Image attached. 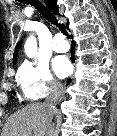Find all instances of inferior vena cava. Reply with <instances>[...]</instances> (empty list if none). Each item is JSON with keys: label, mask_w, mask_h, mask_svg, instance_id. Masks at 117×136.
Masks as SVG:
<instances>
[{"label": "inferior vena cava", "mask_w": 117, "mask_h": 136, "mask_svg": "<svg viewBox=\"0 0 117 136\" xmlns=\"http://www.w3.org/2000/svg\"><path fill=\"white\" fill-rule=\"evenodd\" d=\"M64 89L60 83H54L50 95L46 99V105L54 108L64 98ZM46 136H57L55 127V113L53 109H46Z\"/></svg>", "instance_id": "1"}]
</instances>
